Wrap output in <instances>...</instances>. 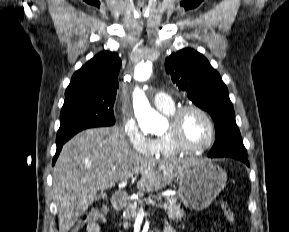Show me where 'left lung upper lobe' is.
Segmentation results:
<instances>
[{"instance_id":"1","label":"left lung upper lobe","mask_w":289,"mask_h":232,"mask_svg":"<svg viewBox=\"0 0 289 232\" xmlns=\"http://www.w3.org/2000/svg\"><path fill=\"white\" fill-rule=\"evenodd\" d=\"M165 69L179 90L187 92L188 98L214 120L216 139L208 156H246L228 89L208 60L185 48L166 58Z\"/></svg>"}]
</instances>
